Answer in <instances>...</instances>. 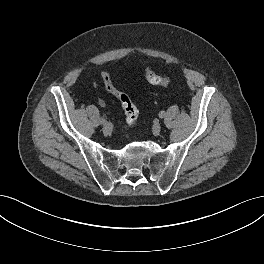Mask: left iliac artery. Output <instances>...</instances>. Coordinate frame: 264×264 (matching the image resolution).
Instances as JSON below:
<instances>
[{
  "mask_svg": "<svg viewBox=\"0 0 264 264\" xmlns=\"http://www.w3.org/2000/svg\"><path fill=\"white\" fill-rule=\"evenodd\" d=\"M164 116H165V112H164V111H161V112L159 113V117H160V118H164Z\"/></svg>",
  "mask_w": 264,
  "mask_h": 264,
  "instance_id": "44dca946",
  "label": "left iliac artery"
}]
</instances>
